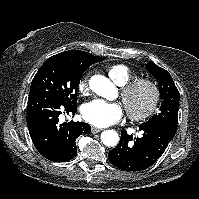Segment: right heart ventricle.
I'll return each instance as SVG.
<instances>
[{"instance_id": "obj_1", "label": "right heart ventricle", "mask_w": 199, "mask_h": 199, "mask_svg": "<svg viewBox=\"0 0 199 199\" xmlns=\"http://www.w3.org/2000/svg\"><path fill=\"white\" fill-rule=\"evenodd\" d=\"M107 72L110 78L120 86L124 85L135 76V73L124 64L110 65L107 67Z\"/></svg>"}]
</instances>
